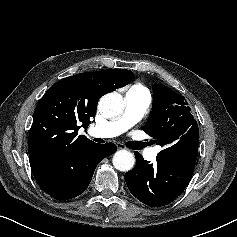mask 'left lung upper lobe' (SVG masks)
I'll use <instances>...</instances> for the list:
<instances>
[{
    "instance_id": "5c2ea615",
    "label": "left lung upper lobe",
    "mask_w": 237,
    "mask_h": 237,
    "mask_svg": "<svg viewBox=\"0 0 237 237\" xmlns=\"http://www.w3.org/2000/svg\"><path fill=\"white\" fill-rule=\"evenodd\" d=\"M153 90V110L143 131L164 147L157 156L169 161H196L199 129L186 99L161 84L155 85Z\"/></svg>"
}]
</instances>
